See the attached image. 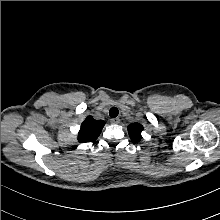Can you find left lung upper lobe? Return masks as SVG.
<instances>
[{"label":"left lung upper lobe","instance_id":"5c2ea615","mask_svg":"<svg viewBox=\"0 0 220 220\" xmlns=\"http://www.w3.org/2000/svg\"><path fill=\"white\" fill-rule=\"evenodd\" d=\"M142 131H143V126L139 123H132L128 126V132H129L130 138L134 142H138L142 138L141 136Z\"/></svg>","mask_w":220,"mask_h":220}]
</instances>
